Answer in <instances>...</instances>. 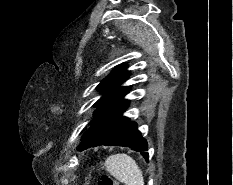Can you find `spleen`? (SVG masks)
Returning <instances> with one entry per match:
<instances>
[{"instance_id": "1", "label": "spleen", "mask_w": 233, "mask_h": 185, "mask_svg": "<svg viewBox=\"0 0 233 185\" xmlns=\"http://www.w3.org/2000/svg\"><path fill=\"white\" fill-rule=\"evenodd\" d=\"M104 166L117 180L125 185H144L141 169L129 155L121 153L109 156Z\"/></svg>"}]
</instances>
